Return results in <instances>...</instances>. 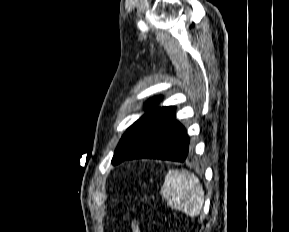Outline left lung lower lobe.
Listing matches in <instances>:
<instances>
[{
	"label": "left lung lower lobe",
	"instance_id": "obj_1",
	"mask_svg": "<svg viewBox=\"0 0 289 232\" xmlns=\"http://www.w3.org/2000/svg\"><path fill=\"white\" fill-rule=\"evenodd\" d=\"M191 153L186 129L176 119L163 126L125 160L155 158L183 162Z\"/></svg>",
	"mask_w": 289,
	"mask_h": 232
}]
</instances>
